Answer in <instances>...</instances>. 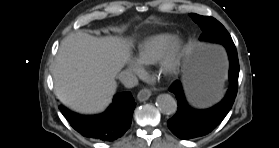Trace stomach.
Here are the masks:
<instances>
[{
	"label": "stomach",
	"instance_id": "0dacf381",
	"mask_svg": "<svg viewBox=\"0 0 279 148\" xmlns=\"http://www.w3.org/2000/svg\"><path fill=\"white\" fill-rule=\"evenodd\" d=\"M224 68L225 59L221 53L200 47L190 48L185 60V72L189 76L185 87L193 104L206 106L219 97Z\"/></svg>",
	"mask_w": 279,
	"mask_h": 148
}]
</instances>
